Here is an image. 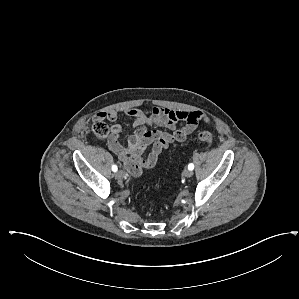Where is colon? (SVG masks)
Segmentation results:
<instances>
[{
	"label": "colon",
	"mask_w": 299,
	"mask_h": 299,
	"mask_svg": "<svg viewBox=\"0 0 299 299\" xmlns=\"http://www.w3.org/2000/svg\"><path fill=\"white\" fill-rule=\"evenodd\" d=\"M91 131L98 140L102 141L107 140L111 135L110 127L103 119L100 118L95 119L91 123ZM197 138L207 146H210L213 141V137L208 131H200L197 134Z\"/></svg>",
	"instance_id": "1"
}]
</instances>
